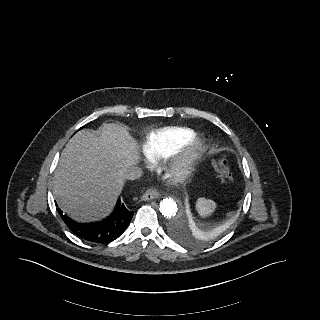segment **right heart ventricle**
<instances>
[{
	"label": "right heart ventricle",
	"instance_id": "right-heart-ventricle-1",
	"mask_svg": "<svg viewBox=\"0 0 320 320\" xmlns=\"http://www.w3.org/2000/svg\"><path fill=\"white\" fill-rule=\"evenodd\" d=\"M194 135V131L188 128H163L147 136L142 150L153 161L166 159L180 152Z\"/></svg>",
	"mask_w": 320,
	"mask_h": 320
}]
</instances>
